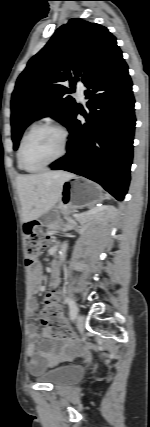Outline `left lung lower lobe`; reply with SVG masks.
Returning <instances> with one entry per match:
<instances>
[{
  "mask_svg": "<svg viewBox=\"0 0 150 427\" xmlns=\"http://www.w3.org/2000/svg\"><path fill=\"white\" fill-rule=\"evenodd\" d=\"M84 85L88 109L76 105L65 125L70 132L67 154L51 167L93 180L122 201L130 182L136 119L132 81L119 47ZM78 112L84 123L76 119Z\"/></svg>",
  "mask_w": 150,
  "mask_h": 427,
  "instance_id": "1",
  "label": "left lung lower lobe"
}]
</instances>
